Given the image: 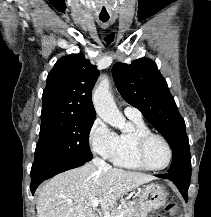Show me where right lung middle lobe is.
<instances>
[{
    "mask_svg": "<svg viewBox=\"0 0 211 217\" xmlns=\"http://www.w3.org/2000/svg\"><path fill=\"white\" fill-rule=\"evenodd\" d=\"M94 118L51 116L41 119L35 161L45 158H63L90 161L89 133Z\"/></svg>",
    "mask_w": 211,
    "mask_h": 217,
    "instance_id": "dd1d6c3e",
    "label": "right lung middle lobe"
}]
</instances>
